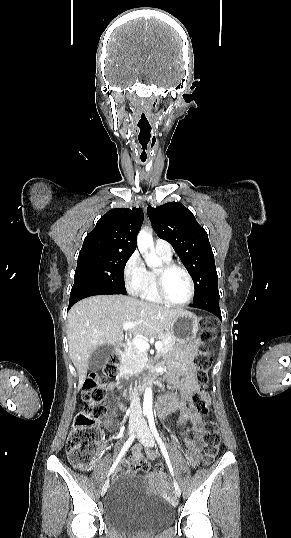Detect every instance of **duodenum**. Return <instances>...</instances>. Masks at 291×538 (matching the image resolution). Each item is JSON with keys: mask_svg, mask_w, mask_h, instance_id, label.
<instances>
[{"mask_svg": "<svg viewBox=\"0 0 291 538\" xmlns=\"http://www.w3.org/2000/svg\"><path fill=\"white\" fill-rule=\"evenodd\" d=\"M128 352L129 349L127 347L118 348V354L120 356L124 357ZM117 377L121 382L120 386H122L120 388V394L127 398H133L139 396L140 390L151 386L150 381L154 380L155 374H151L150 372L142 373V378H140L133 377L132 373L125 374L124 372H119Z\"/></svg>", "mask_w": 291, "mask_h": 538, "instance_id": "1", "label": "duodenum"}]
</instances>
